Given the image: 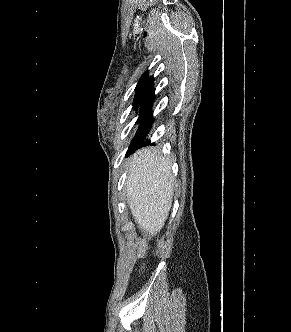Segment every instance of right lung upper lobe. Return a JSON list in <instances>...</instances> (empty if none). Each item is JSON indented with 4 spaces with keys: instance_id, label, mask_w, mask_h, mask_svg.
<instances>
[{
    "instance_id": "right-lung-upper-lobe-1",
    "label": "right lung upper lobe",
    "mask_w": 291,
    "mask_h": 332,
    "mask_svg": "<svg viewBox=\"0 0 291 332\" xmlns=\"http://www.w3.org/2000/svg\"><path fill=\"white\" fill-rule=\"evenodd\" d=\"M148 71H146L142 77L140 78L137 86H136V95L135 98L139 97H146L148 98L152 94H154V87H153V76L147 78Z\"/></svg>"
}]
</instances>
